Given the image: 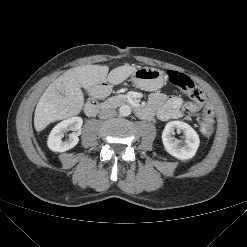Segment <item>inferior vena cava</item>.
Wrapping results in <instances>:
<instances>
[{
	"instance_id": "602c4592",
	"label": "inferior vena cava",
	"mask_w": 247,
	"mask_h": 247,
	"mask_svg": "<svg viewBox=\"0 0 247 247\" xmlns=\"http://www.w3.org/2000/svg\"><path fill=\"white\" fill-rule=\"evenodd\" d=\"M116 115V110L113 108H104L99 112V118L106 119Z\"/></svg>"
}]
</instances>
